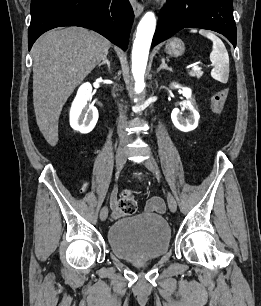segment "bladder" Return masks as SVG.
Listing matches in <instances>:
<instances>
[{
    "instance_id": "bladder-1",
    "label": "bladder",
    "mask_w": 261,
    "mask_h": 306,
    "mask_svg": "<svg viewBox=\"0 0 261 306\" xmlns=\"http://www.w3.org/2000/svg\"><path fill=\"white\" fill-rule=\"evenodd\" d=\"M107 240L112 253L120 259H153L169 250L171 229L163 216L141 213L116 220L109 227Z\"/></svg>"
}]
</instances>
